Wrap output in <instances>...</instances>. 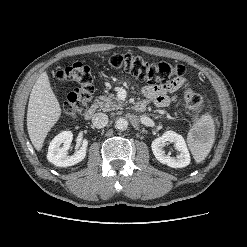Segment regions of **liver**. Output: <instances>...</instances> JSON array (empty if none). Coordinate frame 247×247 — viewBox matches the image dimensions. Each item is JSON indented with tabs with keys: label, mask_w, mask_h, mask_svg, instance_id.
Listing matches in <instances>:
<instances>
[{
	"label": "liver",
	"mask_w": 247,
	"mask_h": 247,
	"mask_svg": "<svg viewBox=\"0 0 247 247\" xmlns=\"http://www.w3.org/2000/svg\"><path fill=\"white\" fill-rule=\"evenodd\" d=\"M61 116V107L49 81L43 72L35 82L28 103L27 129L30 140L37 151Z\"/></svg>",
	"instance_id": "1"
}]
</instances>
